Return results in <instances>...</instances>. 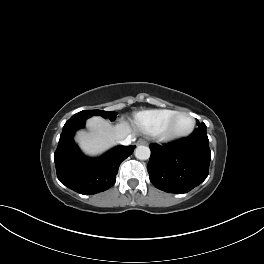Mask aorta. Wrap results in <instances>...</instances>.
<instances>
[{
    "instance_id": "aorta-1",
    "label": "aorta",
    "mask_w": 264,
    "mask_h": 264,
    "mask_svg": "<svg viewBox=\"0 0 264 264\" xmlns=\"http://www.w3.org/2000/svg\"><path fill=\"white\" fill-rule=\"evenodd\" d=\"M151 151L149 147L140 145L135 149V157L139 160H147L150 158Z\"/></svg>"
}]
</instances>
